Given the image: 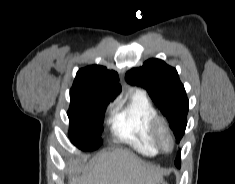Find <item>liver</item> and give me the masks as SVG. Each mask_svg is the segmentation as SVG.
I'll list each match as a JSON object with an SVG mask.
<instances>
[{
  "label": "liver",
  "instance_id": "obj_1",
  "mask_svg": "<svg viewBox=\"0 0 235 184\" xmlns=\"http://www.w3.org/2000/svg\"><path fill=\"white\" fill-rule=\"evenodd\" d=\"M164 174L160 166L145 164L132 152L116 148L101 154L90 174L71 178L69 184H156Z\"/></svg>",
  "mask_w": 235,
  "mask_h": 184
}]
</instances>
